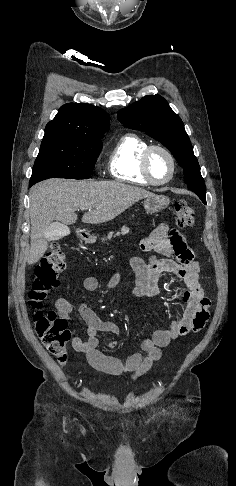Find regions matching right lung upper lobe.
I'll list each match as a JSON object with an SVG mask.
<instances>
[{
    "label": "right lung upper lobe",
    "mask_w": 236,
    "mask_h": 486,
    "mask_svg": "<svg viewBox=\"0 0 236 486\" xmlns=\"http://www.w3.org/2000/svg\"><path fill=\"white\" fill-rule=\"evenodd\" d=\"M109 115L87 103H67L48 122L45 134H65L85 139H100L109 129Z\"/></svg>",
    "instance_id": "cb5924a9"
}]
</instances>
